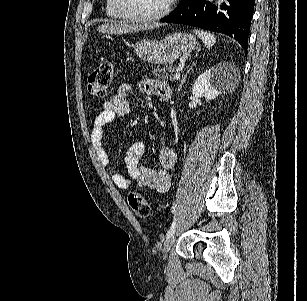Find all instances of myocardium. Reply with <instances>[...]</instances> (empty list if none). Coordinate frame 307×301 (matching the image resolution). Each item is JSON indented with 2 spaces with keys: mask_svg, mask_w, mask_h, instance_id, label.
<instances>
[{
  "mask_svg": "<svg viewBox=\"0 0 307 301\" xmlns=\"http://www.w3.org/2000/svg\"><path fill=\"white\" fill-rule=\"evenodd\" d=\"M125 0H113L114 15L120 17L121 22H158L160 17H165L172 6L173 0H166L165 5L160 11H135L122 10Z\"/></svg>",
  "mask_w": 307,
  "mask_h": 301,
  "instance_id": "obj_1",
  "label": "myocardium"
}]
</instances>
